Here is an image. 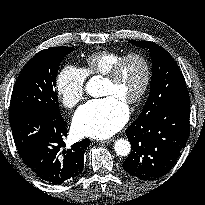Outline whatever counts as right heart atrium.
Wrapping results in <instances>:
<instances>
[{"instance_id": "obj_1", "label": "right heart atrium", "mask_w": 205, "mask_h": 205, "mask_svg": "<svg viewBox=\"0 0 205 205\" xmlns=\"http://www.w3.org/2000/svg\"><path fill=\"white\" fill-rule=\"evenodd\" d=\"M86 76L82 69L73 65L65 66L55 81L56 96L68 109L75 107L84 97Z\"/></svg>"}]
</instances>
